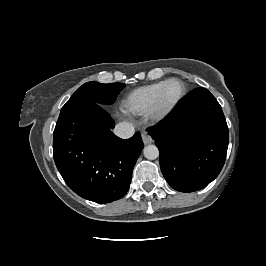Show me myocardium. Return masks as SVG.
<instances>
[{
    "instance_id": "1",
    "label": "myocardium",
    "mask_w": 266,
    "mask_h": 266,
    "mask_svg": "<svg viewBox=\"0 0 266 266\" xmlns=\"http://www.w3.org/2000/svg\"><path fill=\"white\" fill-rule=\"evenodd\" d=\"M171 83H178L180 85L181 91L179 96L176 98V100L168 107H164L162 104V96L167 88L168 85ZM186 94V88L184 83L178 79V78H171L165 81V83L160 88L156 99L154 101L153 107L150 112V116L155 121H161L168 117L180 104L182 99L184 98Z\"/></svg>"
}]
</instances>
